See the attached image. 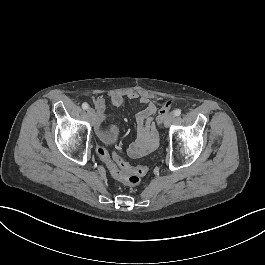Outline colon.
Listing matches in <instances>:
<instances>
[{
    "label": "colon",
    "instance_id": "5ec220e1",
    "mask_svg": "<svg viewBox=\"0 0 265 265\" xmlns=\"http://www.w3.org/2000/svg\"><path fill=\"white\" fill-rule=\"evenodd\" d=\"M174 107V101L168 100L162 107L161 111L158 112L157 120L162 122L164 120V115ZM108 126L105 125L103 131L106 132ZM158 129L161 132L165 131V128L162 125L158 126ZM97 154L101 161L104 163L106 168L118 179L126 183L128 186L134 187L137 186L143 176H145L149 170V167L142 165L140 167H132L126 161L118 156L114 155L111 159L107 149L104 146L97 147Z\"/></svg>",
    "mask_w": 265,
    "mask_h": 265
}]
</instances>
